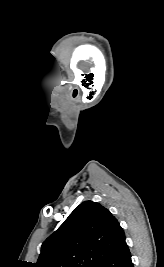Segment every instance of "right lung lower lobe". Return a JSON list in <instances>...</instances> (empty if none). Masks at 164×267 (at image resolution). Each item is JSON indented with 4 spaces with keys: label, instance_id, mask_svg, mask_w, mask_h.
I'll use <instances>...</instances> for the list:
<instances>
[{
    "label": "right lung lower lobe",
    "instance_id": "98d812e1",
    "mask_svg": "<svg viewBox=\"0 0 164 267\" xmlns=\"http://www.w3.org/2000/svg\"><path fill=\"white\" fill-rule=\"evenodd\" d=\"M99 267H134L128 246L122 247L115 254L105 260Z\"/></svg>",
    "mask_w": 164,
    "mask_h": 267
}]
</instances>
